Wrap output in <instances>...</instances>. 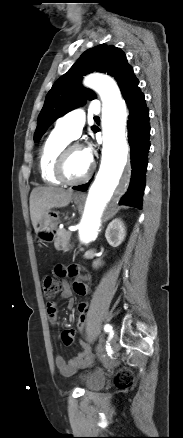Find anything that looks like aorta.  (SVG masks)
<instances>
[{
	"mask_svg": "<svg viewBox=\"0 0 183 438\" xmlns=\"http://www.w3.org/2000/svg\"><path fill=\"white\" fill-rule=\"evenodd\" d=\"M84 84L94 89L103 103L102 160L89 189L78 230L80 242L88 244L98 235L108 202L118 187L126 166L129 148L125 134L126 104L115 81L105 75L92 74L85 78Z\"/></svg>",
	"mask_w": 183,
	"mask_h": 438,
	"instance_id": "obj_1",
	"label": "aorta"
}]
</instances>
